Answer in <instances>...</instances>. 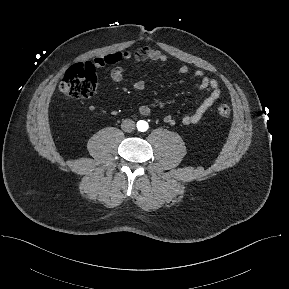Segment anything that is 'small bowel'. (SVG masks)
<instances>
[{"mask_svg": "<svg viewBox=\"0 0 289 289\" xmlns=\"http://www.w3.org/2000/svg\"><path fill=\"white\" fill-rule=\"evenodd\" d=\"M167 56L160 50L151 47L144 46L135 51H119L108 53L104 56H100L94 59L93 64L96 68L100 69L107 65H116L121 61L133 60L137 63L146 60L166 62ZM180 74H188L189 68L182 65L178 68ZM110 77L114 82H122L124 79V68L121 66H115L111 72ZM194 77L197 81L198 89L208 92V95L198 105L195 111L191 114L184 115L181 119L183 125H195L201 121L204 114L213 106L215 101L221 96V89L216 79L208 77L204 72L197 70L194 72ZM145 83L138 81L134 84L133 88L135 91H141L144 89ZM141 115L148 116L151 114V108L148 105H141L138 108ZM163 120L169 125H175L177 123L176 118L171 114H166Z\"/></svg>", "mask_w": 289, "mask_h": 289, "instance_id": "1", "label": "small bowel"}]
</instances>
